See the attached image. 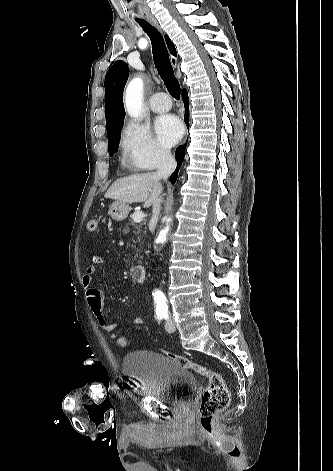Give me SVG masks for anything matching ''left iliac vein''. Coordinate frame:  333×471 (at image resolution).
Listing matches in <instances>:
<instances>
[{"label": "left iliac vein", "mask_w": 333, "mask_h": 471, "mask_svg": "<svg viewBox=\"0 0 333 471\" xmlns=\"http://www.w3.org/2000/svg\"><path fill=\"white\" fill-rule=\"evenodd\" d=\"M165 329L167 332L169 333H172L176 330V326H175V323L172 321V320H167L166 324H165Z\"/></svg>", "instance_id": "obj_1"}]
</instances>
